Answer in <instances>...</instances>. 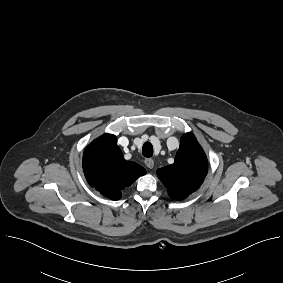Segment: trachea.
Here are the masks:
<instances>
[{
	"mask_svg": "<svg viewBox=\"0 0 283 283\" xmlns=\"http://www.w3.org/2000/svg\"><path fill=\"white\" fill-rule=\"evenodd\" d=\"M142 155L145 157H151L153 155V146L150 142H146L142 148Z\"/></svg>",
	"mask_w": 283,
	"mask_h": 283,
	"instance_id": "3493384b",
	"label": "trachea"
}]
</instances>
